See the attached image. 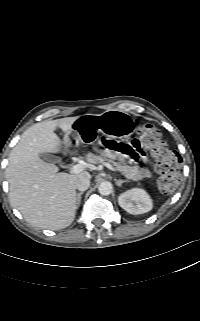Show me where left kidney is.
<instances>
[{"label":"left kidney","instance_id":"5707ae66","mask_svg":"<svg viewBox=\"0 0 200 321\" xmlns=\"http://www.w3.org/2000/svg\"><path fill=\"white\" fill-rule=\"evenodd\" d=\"M118 203L120 207L133 215L149 212L153 207L149 195L139 188H133L122 193L118 197Z\"/></svg>","mask_w":200,"mask_h":321}]
</instances>
